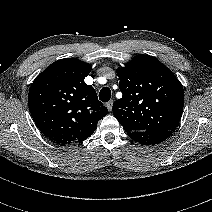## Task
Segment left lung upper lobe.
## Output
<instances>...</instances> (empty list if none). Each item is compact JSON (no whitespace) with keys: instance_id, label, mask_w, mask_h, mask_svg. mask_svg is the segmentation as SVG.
I'll return each mask as SVG.
<instances>
[{"instance_id":"5c2ea615","label":"left lung upper lobe","mask_w":212,"mask_h":212,"mask_svg":"<svg viewBox=\"0 0 212 212\" xmlns=\"http://www.w3.org/2000/svg\"><path fill=\"white\" fill-rule=\"evenodd\" d=\"M122 98L113 114L126 132L174 131L182 116L184 91L176 76L156 58L139 54L117 69Z\"/></svg>"}]
</instances>
